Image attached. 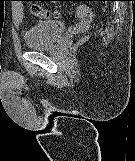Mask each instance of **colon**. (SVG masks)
Here are the masks:
<instances>
[{"mask_svg": "<svg viewBox=\"0 0 135 161\" xmlns=\"http://www.w3.org/2000/svg\"><path fill=\"white\" fill-rule=\"evenodd\" d=\"M30 12L38 18L48 19L51 17H59V12H52L49 9H46L38 4L30 3L29 4ZM75 14L78 16H87L91 14V9L87 5H80L75 9Z\"/></svg>", "mask_w": 135, "mask_h": 161, "instance_id": "obj_1", "label": "colon"}]
</instances>
